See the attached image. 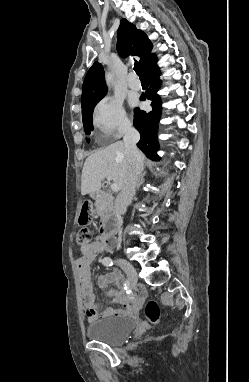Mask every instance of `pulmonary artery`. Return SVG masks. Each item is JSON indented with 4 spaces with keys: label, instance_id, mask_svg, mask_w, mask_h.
Returning <instances> with one entry per match:
<instances>
[{
    "label": "pulmonary artery",
    "instance_id": "pulmonary-artery-1",
    "mask_svg": "<svg viewBox=\"0 0 249 382\" xmlns=\"http://www.w3.org/2000/svg\"><path fill=\"white\" fill-rule=\"evenodd\" d=\"M128 86L133 90H139L141 88V81L134 72H131L128 76Z\"/></svg>",
    "mask_w": 249,
    "mask_h": 382
}]
</instances>
